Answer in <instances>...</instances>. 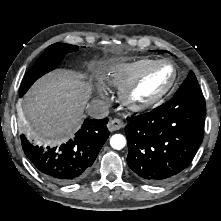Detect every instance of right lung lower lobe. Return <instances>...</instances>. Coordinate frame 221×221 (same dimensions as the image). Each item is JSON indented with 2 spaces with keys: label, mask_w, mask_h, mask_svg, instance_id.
I'll return each instance as SVG.
<instances>
[{
  "label": "right lung lower lobe",
  "mask_w": 221,
  "mask_h": 221,
  "mask_svg": "<svg viewBox=\"0 0 221 221\" xmlns=\"http://www.w3.org/2000/svg\"><path fill=\"white\" fill-rule=\"evenodd\" d=\"M108 118L86 119L75 137L59 146L32 144L21 135L23 150L35 169L49 180L68 184L81 180L90 171L109 137Z\"/></svg>",
  "instance_id": "98d812e1"
}]
</instances>
